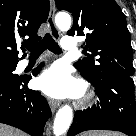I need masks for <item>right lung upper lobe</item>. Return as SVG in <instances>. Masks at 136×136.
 Wrapping results in <instances>:
<instances>
[{
  "label": "right lung upper lobe",
  "mask_w": 136,
  "mask_h": 136,
  "mask_svg": "<svg viewBox=\"0 0 136 136\" xmlns=\"http://www.w3.org/2000/svg\"><path fill=\"white\" fill-rule=\"evenodd\" d=\"M49 8V0H0V64L18 63L21 39H40L37 30L47 21Z\"/></svg>",
  "instance_id": "right-lung-upper-lobe-1"
}]
</instances>
